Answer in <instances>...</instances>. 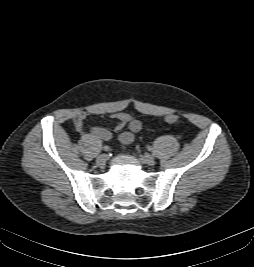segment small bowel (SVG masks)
<instances>
[{
  "label": "small bowel",
  "mask_w": 254,
  "mask_h": 267,
  "mask_svg": "<svg viewBox=\"0 0 254 267\" xmlns=\"http://www.w3.org/2000/svg\"><path fill=\"white\" fill-rule=\"evenodd\" d=\"M88 117L89 114L87 112H80L74 117V126L77 131L83 132L84 125ZM112 118L116 121V131L121 132L126 126L128 127V130L122 131L118 137L123 147L128 146L134 141L135 134L142 129L141 121L125 112L114 113ZM90 132L94 137L103 141H109L112 138V133L103 127H92Z\"/></svg>",
  "instance_id": "small-bowel-1"
}]
</instances>
